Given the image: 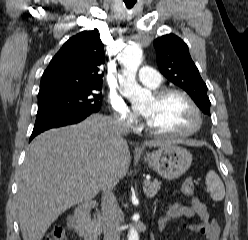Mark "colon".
Returning a JSON list of instances; mask_svg holds the SVG:
<instances>
[{
  "instance_id": "5ec220e1",
  "label": "colon",
  "mask_w": 248,
  "mask_h": 240,
  "mask_svg": "<svg viewBox=\"0 0 248 240\" xmlns=\"http://www.w3.org/2000/svg\"><path fill=\"white\" fill-rule=\"evenodd\" d=\"M182 193L186 197H191L194 193V182L192 179H187L182 185ZM45 240H67L65 228L58 224L53 227Z\"/></svg>"
}]
</instances>
